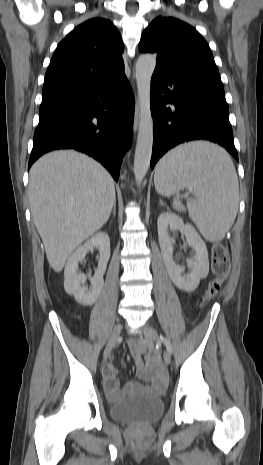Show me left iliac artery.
I'll use <instances>...</instances> for the list:
<instances>
[{
  "instance_id": "obj_1",
  "label": "left iliac artery",
  "mask_w": 263,
  "mask_h": 465,
  "mask_svg": "<svg viewBox=\"0 0 263 465\" xmlns=\"http://www.w3.org/2000/svg\"><path fill=\"white\" fill-rule=\"evenodd\" d=\"M160 340H161V341L164 343V345L166 346L167 351H168L170 354H172L173 348H172V345H171L170 341H169L167 338H165L164 336H162V335H160Z\"/></svg>"
}]
</instances>
